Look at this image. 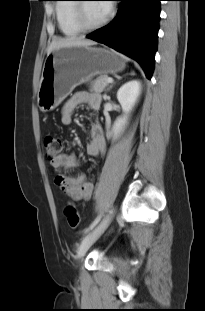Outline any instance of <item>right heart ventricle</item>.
Masks as SVG:
<instances>
[{"instance_id":"e07e8e85","label":"right heart ventricle","mask_w":205,"mask_h":311,"mask_svg":"<svg viewBox=\"0 0 205 311\" xmlns=\"http://www.w3.org/2000/svg\"><path fill=\"white\" fill-rule=\"evenodd\" d=\"M74 0H59L55 7L56 20L60 31L68 37L82 32L73 16Z\"/></svg>"}]
</instances>
